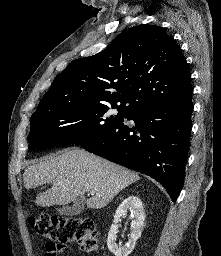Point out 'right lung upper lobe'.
<instances>
[{"label": "right lung upper lobe", "instance_id": "1", "mask_svg": "<svg viewBox=\"0 0 221 256\" xmlns=\"http://www.w3.org/2000/svg\"><path fill=\"white\" fill-rule=\"evenodd\" d=\"M191 94L179 46L163 28L143 24L125 30L98 54L72 61L56 76L34 114L79 104L117 103L135 113Z\"/></svg>", "mask_w": 221, "mask_h": 256}]
</instances>
